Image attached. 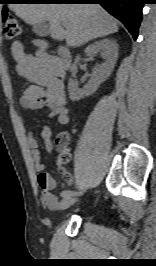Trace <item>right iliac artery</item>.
Returning <instances> with one entry per match:
<instances>
[{
    "mask_svg": "<svg viewBox=\"0 0 156 266\" xmlns=\"http://www.w3.org/2000/svg\"><path fill=\"white\" fill-rule=\"evenodd\" d=\"M82 191L83 192H86L87 191V188H82ZM76 193H74L73 191H70V190H64L61 192V196L63 198H66V197H71L73 195H75Z\"/></svg>",
    "mask_w": 156,
    "mask_h": 266,
    "instance_id": "right-iliac-artery-1",
    "label": "right iliac artery"
}]
</instances>
